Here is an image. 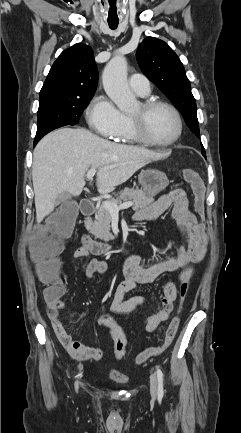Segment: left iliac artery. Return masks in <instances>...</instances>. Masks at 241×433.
<instances>
[{"label": "left iliac artery", "mask_w": 241, "mask_h": 433, "mask_svg": "<svg viewBox=\"0 0 241 433\" xmlns=\"http://www.w3.org/2000/svg\"><path fill=\"white\" fill-rule=\"evenodd\" d=\"M157 378H158V396L163 397L164 389H163V373L159 366H157Z\"/></svg>", "instance_id": "obj_1"}]
</instances>
